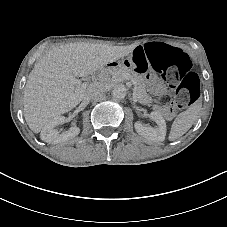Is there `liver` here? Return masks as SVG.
<instances>
[{"label":"liver","mask_w":227,"mask_h":227,"mask_svg":"<svg viewBox=\"0 0 227 227\" xmlns=\"http://www.w3.org/2000/svg\"><path fill=\"white\" fill-rule=\"evenodd\" d=\"M133 49L132 45L71 43L49 50L34 64L24 88V117L29 128L39 133L50 119L91 96L87 84L77 78L103 69Z\"/></svg>","instance_id":"liver-1"}]
</instances>
